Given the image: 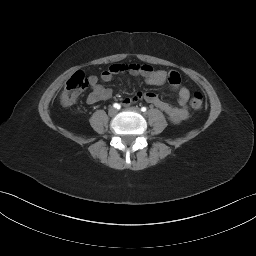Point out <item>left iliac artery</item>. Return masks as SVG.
<instances>
[{
	"instance_id": "left-iliac-artery-1",
	"label": "left iliac artery",
	"mask_w": 256,
	"mask_h": 256,
	"mask_svg": "<svg viewBox=\"0 0 256 256\" xmlns=\"http://www.w3.org/2000/svg\"><path fill=\"white\" fill-rule=\"evenodd\" d=\"M141 111H142V112H146V111H147V108H146V107H142V108H141Z\"/></svg>"
}]
</instances>
